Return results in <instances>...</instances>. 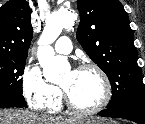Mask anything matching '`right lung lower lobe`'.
<instances>
[{
  "instance_id": "right-lung-lower-lobe-1",
  "label": "right lung lower lobe",
  "mask_w": 145,
  "mask_h": 124,
  "mask_svg": "<svg viewBox=\"0 0 145 124\" xmlns=\"http://www.w3.org/2000/svg\"><path fill=\"white\" fill-rule=\"evenodd\" d=\"M9 107L27 108L26 102L22 94L16 93L0 94V108H9Z\"/></svg>"
}]
</instances>
